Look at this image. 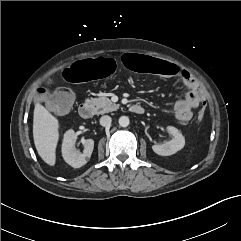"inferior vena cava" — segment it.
<instances>
[{"label": "inferior vena cava", "mask_w": 241, "mask_h": 241, "mask_svg": "<svg viewBox=\"0 0 241 241\" xmlns=\"http://www.w3.org/2000/svg\"><path fill=\"white\" fill-rule=\"evenodd\" d=\"M111 121H112V119H111L110 116H108V115L102 116L100 118V125L103 126V127L110 126Z\"/></svg>", "instance_id": "obj_1"}]
</instances>
